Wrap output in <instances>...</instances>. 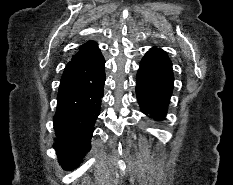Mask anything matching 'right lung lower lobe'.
I'll use <instances>...</instances> for the list:
<instances>
[{"instance_id":"98d812e1","label":"right lung lower lobe","mask_w":233,"mask_h":185,"mask_svg":"<svg viewBox=\"0 0 233 185\" xmlns=\"http://www.w3.org/2000/svg\"><path fill=\"white\" fill-rule=\"evenodd\" d=\"M105 60H71L64 69L54 116L59 161L72 170L90 148L100 113L105 82Z\"/></svg>"}]
</instances>
